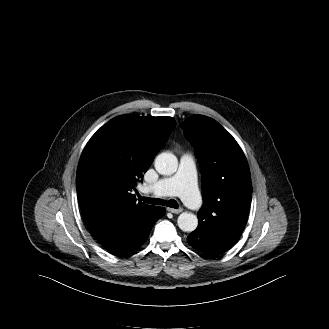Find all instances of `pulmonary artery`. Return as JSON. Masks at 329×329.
Returning <instances> with one entry per match:
<instances>
[{"mask_svg": "<svg viewBox=\"0 0 329 329\" xmlns=\"http://www.w3.org/2000/svg\"><path fill=\"white\" fill-rule=\"evenodd\" d=\"M156 196H180L193 210L202 206L200 193L196 185V170L194 158L185 153L180 157L177 172L169 177L159 179L150 189Z\"/></svg>", "mask_w": 329, "mask_h": 329, "instance_id": "pulmonary-artery-1", "label": "pulmonary artery"}]
</instances>
